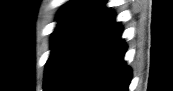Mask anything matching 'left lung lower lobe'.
<instances>
[{
  "instance_id": "0a47b994",
  "label": "left lung lower lobe",
  "mask_w": 173,
  "mask_h": 91,
  "mask_svg": "<svg viewBox=\"0 0 173 91\" xmlns=\"http://www.w3.org/2000/svg\"><path fill=\"white\" fill-rule=\"evenodd\" d=\"M110 10L74 50L51 91H128L132 70L122 27Z\"/></svg>"
}]
</instances>
